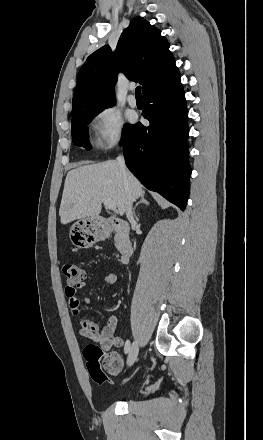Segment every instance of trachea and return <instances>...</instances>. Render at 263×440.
Segmentation results:
<instances>
[{"label": "trachea", "mask_w": 263, "mask_h": 440, "mask_svg": "<svg viewBox=\"0 0 263 440\" xmlns=\"http://www.w3.org/2000/svg\"><path fill=\"white\" fill-rule=\"evenodd\" d=\"M135 95H136V97H142V94H141V87H140V86H138V87L135 89Z\"/></svg>", "instance_id": "3493384b"}]
</instances>
